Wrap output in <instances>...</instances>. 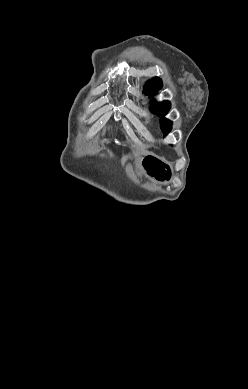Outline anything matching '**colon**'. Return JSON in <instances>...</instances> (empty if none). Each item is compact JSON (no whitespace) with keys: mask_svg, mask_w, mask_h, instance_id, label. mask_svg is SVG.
Listing matches in <instances>:
<instances>
[{"mask_svg":"<svg viewBox=\"0 0 248 389\" xmlns=\"http://www.w3.org/2000/svg\"><path fill=\"white\" fill-rule=\"evenodd\" d=\"M145 166L149 168L152 174L159 180H163L166 175L165 161H160L159 157H145L143 159Z\"/></svg>","mask_w":248,"mask_h":389,"instance_id":"colon-1","label":"colon"}]
</instances>
